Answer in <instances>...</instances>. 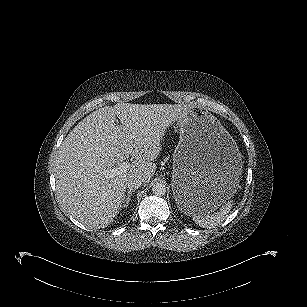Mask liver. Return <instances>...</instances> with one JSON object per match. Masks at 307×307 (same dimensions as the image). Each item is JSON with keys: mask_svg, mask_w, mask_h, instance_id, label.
<instances>
[{"mask_svg": "<svg viewBox=\"0 0 307 307\" xmlns=\"http://www.w3.org/2000/svg\"><path fill=\"white\" fill-rule=\"evenodd\" d=\"M186 107L118 103L79 122L55 159L57 195L66 212L84 225L107 227L123 208L127 181L139 177L148 183L153 177L165 128L179 120ZM129 156L135 160L125 172L105 175Z\"/></svg>", "mask_w": 307, "mask_h": 307, "instance_id": "6515ba94", "label": "liver"}]
</instances>
